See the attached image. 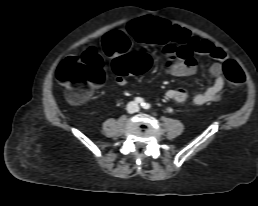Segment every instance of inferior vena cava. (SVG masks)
Segmentation results:
<instances>
[{"mask_svg": "<svg viewBox=\"0 0 258 206\" xmlns=\"http://www.w3.org/2000/svg\"><path fill=\"white\" fill-rule=\"evenodd\" d=\"M129 106H130V108L128 110L131 113L136 112L139 109L138 104L135 102H130Z\"/></svg>", "mask_w": 258, "mask_h": 206, "instance_id": "inferior-vena-cava-1", "label": "inferior vena cava"}]
</instances>
